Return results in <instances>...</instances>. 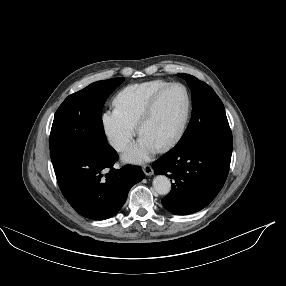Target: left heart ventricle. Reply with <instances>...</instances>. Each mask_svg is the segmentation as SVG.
Masks as SVG:
<instances>
[{
    "instance_id": "obj_1",
    "label": "left heart ventricle",
    "mask_w": 286,
    "mask_h": 286,
    "mask_svg": "<svg viewBox=\"0 0 286 286\" xmlns=\"http://www.w3.org/2000/svg\"><path fill=\"white\" fill-rule=\"evenodd\" d=\"M185 108L183 90L178 87L170 89L160 98L140 134L159 147L177 131L183 120Z\"/></svg>"
}]
</instances>
